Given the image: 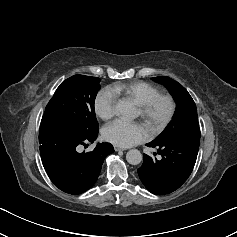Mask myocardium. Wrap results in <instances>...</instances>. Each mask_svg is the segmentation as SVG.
<instances>
[{"label":"myocardium","instance_id":"obj_1","mask_svg":"<svg viewBox=\"0 0 237 237\" xmlns=\"http://www.w3.org/2000/svg\"><path fill=\"white\" fill-rule=\"evenodd\" d=\"M166 102L168 110L161 118H156L155 110L160 102ZM138 110L141 118L150 127L152 134H157L164 129L174 117L176 112V102L171 95L157 94L146 102L138 105Z\"/></svg>","mask_w":237,"mask_h":237}]
</instances>
